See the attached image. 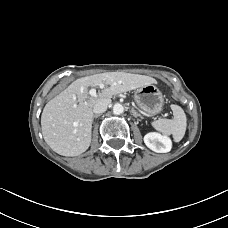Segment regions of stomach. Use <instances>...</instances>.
Here are the masks:
<instances>
[{"mask_svg":"<svg viewBox=\"0 0 228 228\" xmlns=\"http://www.w3.org/2000/svg\"><path fill=\"white\" fill-rule=\"evenodd\" d=\"M134 99L139 108L147 115L159 114L164 106L163 95L153 84L138 88L135 92Z\"/></svg>","mask_w":228,"mask_h":228,"instance_id":"0dacf381","label":"stomach"}]
</instances>
